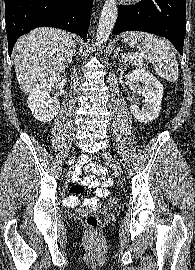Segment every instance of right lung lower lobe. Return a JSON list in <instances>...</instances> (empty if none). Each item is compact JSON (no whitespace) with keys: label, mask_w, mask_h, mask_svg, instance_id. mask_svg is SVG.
I'll return each mask as SVG.
<instances>
[{"label":"right lung lower lobe","mask_w":195,"mask_h":270,"mask_svg":"<svg viewBox=\"0 0 195 270\" xmlns=\"http://www.w3.org/2000/svg\"><path fill=\"white\" fill-rule=\"evenodd\" d=\"M93 0H5L9 55L17 39L37 27H55L86 38Z\"/></svg>","instance_id":"right-lung-lower-lobe-1"}]
</instances>
